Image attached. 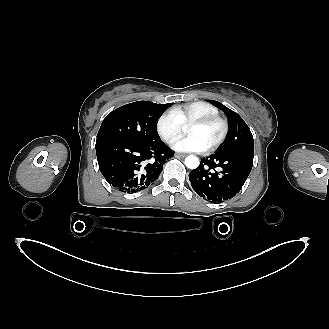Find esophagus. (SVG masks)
Returning <instances> with one entry per match:
<instances>
[{
    "label": "esophagus",
    "instance_id": "esophagus-1",
    "mask_svg": "<svg viewBox=\"0 0 329 329\" xmlns=\"http://www.w3.org/2000/svg\"><path fill=\"white\" fill-rule=\"evenodd\" d=\"M176 157H182L184 158L186 156V154H183V153H176L175 154Z\"/></svg>",
    "mask_w": 329,
    "mask_h": 329
}]
</instances>
